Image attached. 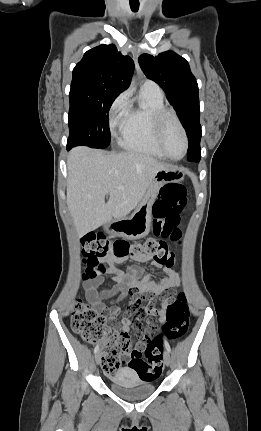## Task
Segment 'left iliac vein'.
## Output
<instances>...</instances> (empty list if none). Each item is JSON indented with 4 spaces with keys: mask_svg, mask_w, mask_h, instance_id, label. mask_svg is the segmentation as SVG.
<instances>
[{
    "mask_svg": "<svg viewBox=\"0 0 261 431\" xmlns=\"http://www.w3.org/2000/svg\"><path fill=\"white\" fill-rule=\"evenodd\" d=\"M164 363L166 366H170L171 364V356L168 351L164 352Z\"/></svg>",
    "mask_w": 261,
    "mask_h": 431,
    "instance_id": "left-iliac-vein-1",
    "label": "left iliac vein"
}]
</instances>
